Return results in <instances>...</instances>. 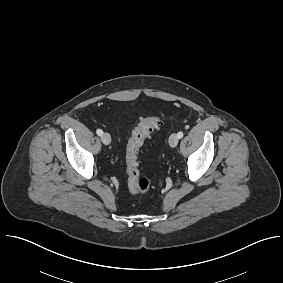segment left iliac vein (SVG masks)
<instances>
[{"label": "left iliac vein", "instance_id": "obj_1", "mask_svg": "<svg viewBox=\"0 0 283 283\" xmlns=\"http://www.w3.org/2000/svg\"><path fill=\"white\" fill-rule=\"evenodd\" d=\"M178 142H179V138H178L177 134H175V133L171 134V136L169 137V145L171 147H176Z\"/></svg>", "mask_w": 283, "mask_h": 283}]
</instances>
